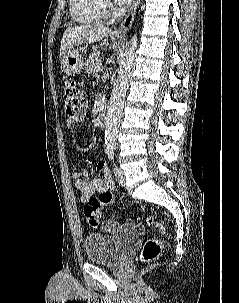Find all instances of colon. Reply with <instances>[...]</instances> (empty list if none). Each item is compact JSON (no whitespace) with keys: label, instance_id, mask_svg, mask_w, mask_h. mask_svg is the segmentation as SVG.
<instances>
[{"label":"colon","instance_id":"obj_1","mask_svg":"<svg viewBox=\"0 0 239 303\" xmlns=\"http://www.w3.org/2000/svg\"><path fill=\"white\" fill-rule=\"evenodd\" d=\"M65 113L69 119H76L83 115L87 108L84 92L74 81H67L63 88ZM113 197L109 191H104L98 196L91 197L84 206V216L88 224L98 227L101 223V209L112 203ZM146 224L158 231V237L148 238L142 248L140 259L144 263L155 261L161 253V238L165 235V227L155 217H146Z\"/></svg>","mask_w":239,"mask_h":303}]
</instances>
